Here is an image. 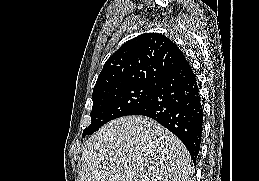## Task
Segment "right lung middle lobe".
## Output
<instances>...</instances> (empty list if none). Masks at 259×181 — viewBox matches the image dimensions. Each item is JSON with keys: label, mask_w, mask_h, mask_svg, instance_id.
I'll list each match as a JSON object with an SVG mask.
<instances>
[{"label": "right lung middle lobe", "mask_w": 259, "mask_h": 181, "mask_svg": "<svg viewBox=\"0 0 259 181\" xmlns=\"http://www.w3.org/2000/svg\"><path fill=\"white\" fill-rule=\"evenodd\" d=\"M154 87L155 83H137L93 94L92 122L82 136L96 132L115 118L130 115L149 99Z\"/></svg>", "instance_id": "1"}]
</instances>
